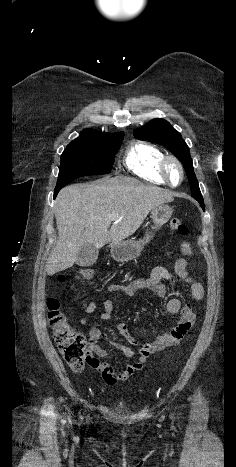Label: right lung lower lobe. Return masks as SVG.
<instances>
[{
	"label": "right lung lower lobe",
	"mask_w": 236,
	"mask_h": 467,
	"mask_svg": "<svg viewBox=\"0 0 236 467\" xmlns=\"http://www.w3.org/2000/svg\"><path fill=\"white\" fill-rule=\"evenodd\" d=\"M62 188H63V187H56V188H55L54 198L56 197V195L58 194V192H59Z\"/></svg>",
	"instance_id": "1"
}]
</instances>
